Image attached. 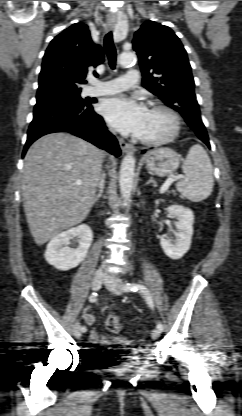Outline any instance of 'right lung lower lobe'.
<instances>
[{
	"label": "right lung lower lobe",
	"mask_w": 242,
	"mask_h": 416,
	"mask_svg": "<svg viewBox=\"0 0 242 416\" xmlns=\"http://www.w3.org/2000/svg\"><path fill=\"white\" fill-rule=\"evenodd\" d=\"M92 103L94 102H72L65 99L37 101L23 156L35 140L53 132L72 133L119 156L120 148L116 138L107 130L103 118L94 112Z\"/></svg>",
	"instance_id": "right-lung-lower-lobe-1"
}]
</instances>
